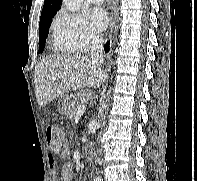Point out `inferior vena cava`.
Masks as SVG:
<instances>
[{
    "label": "inferior vena cava",
    "instance_id": "inferior-vena-cava-1",
    "mask_svg": "<svg viewBox=\"0 0 197 181\" xmlns=\"http://www.w3.org/2000/svg\"><path fill=\"white\" fill-rule=\"evenodd\" d=\"M90 57L93 63H102L103 61V39L98 33H92Z\"/></svg>",
    "mask_w": 197,
    "mask_h": 181
}]
</instances>
